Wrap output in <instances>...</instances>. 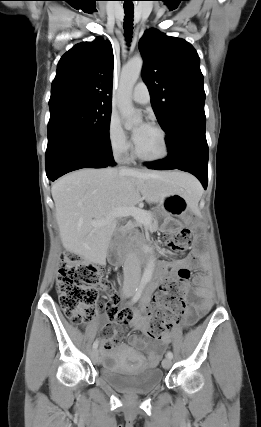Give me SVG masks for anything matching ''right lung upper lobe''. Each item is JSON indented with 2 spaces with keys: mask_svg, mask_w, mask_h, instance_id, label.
I'll return each instance as SVG.
<instances>
[{
  "mask_svg": "<svg viewBox=\"0 0 261 427\" xmlns=\"http://www.w3.org/2000/svg\"><path fill=\"white\" fill-rule=\"evenodd\" d=\"M114 57L109 41L73 46L60 59L49 108L68 104L111 106Z\"/></svg>",
  "mask_w": 261,
  "mask_h": 427,
  "instance_id": "1",
  "label": "right lung upper lobe"
}]
</instances>
